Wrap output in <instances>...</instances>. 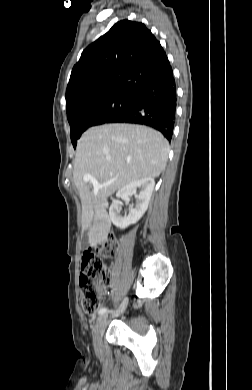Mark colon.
I'll return each instance as SVG.
<instances>
[{"mask_svg":"<svg viewBox=\"0 0 252 390\" xmlns=\"http://www.w3.org/2000/svg\"><path fill=\"white\" fill-rule=\"evenodd\" d=\"M118 247L116 235H110L92 251L82 256L79 283L82 292V308L89 316H96L102 304V291L105 289L108 278L104 259L112 257Z\"/></svg>","mask_w":252,"mask_h":390,"instance_id":"colon-1","label":"colon"}]
</instances>
